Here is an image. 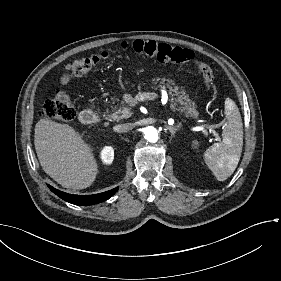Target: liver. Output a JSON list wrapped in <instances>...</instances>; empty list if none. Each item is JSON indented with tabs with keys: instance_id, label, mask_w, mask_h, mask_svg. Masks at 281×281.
<instances>
[{
	"instance_id": "6515ba94",
	"label": "liver",
	"mask_w": 281,
	"mask_h": 281,
	"mask_svg": "<svg viewBox=\"0 0 281 281\" xmlns=\"http://www.w3.org/2000/svg\"><path fill=\"white\" fill-rule=\"evenodd\" d=\"M34 146L42 169L58 184L82 190L95 183L100 173L95 152L73 126L47 117L39 119Z\"/></svg>"
}]
</instances>
